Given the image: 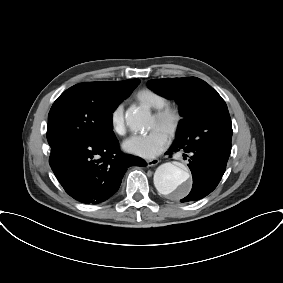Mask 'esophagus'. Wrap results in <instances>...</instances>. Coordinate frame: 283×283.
Wrapping results in <instances>:
<instances>
[{
  "instance_id": "34e87169",
  "label": "esophagus",
  "mask_w": 283,
  "mask_h": 283,
  "mask_svg": "<svg viewBox=\"0 0 283 283\" xmlns=\"http://www.w3.org/2000/svg\"><path fill=\"white\" fill-rule=\"evenodd\" d=\"M159 163V159L157 158H154V159H149L146 161V164L148 167H152V166H155Z\"/></svg>"
}]
</instances>
